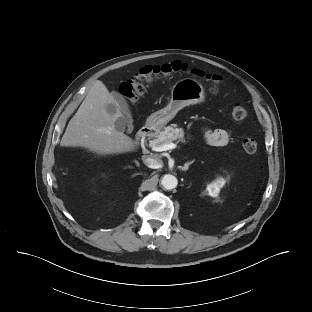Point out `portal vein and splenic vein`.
Here are the masks:
<instances>
[{
	"label": "portal vein and splenic vein",
	"instance_id": "1",
	"mask_svg": "<svg viewBox=\"0 0 312 312\" xmlns=\"http://www.w3.org/2000/svg\"><path fill=\"white\" fill-rule=\"evenodd\" d=\"M176 144L174 143H168V144H163L160 146H153L152 150L156 151V152H162V151H167L170 149H175L176 148Z\"/></svg>",
	"mask_w": 312,
	"mask_h": 312
}]
</instances>
